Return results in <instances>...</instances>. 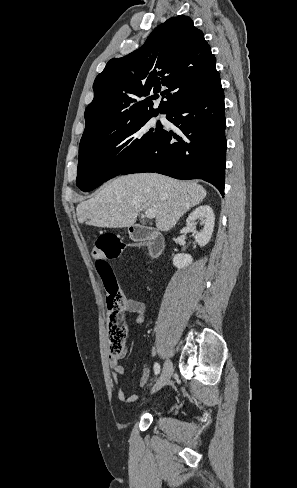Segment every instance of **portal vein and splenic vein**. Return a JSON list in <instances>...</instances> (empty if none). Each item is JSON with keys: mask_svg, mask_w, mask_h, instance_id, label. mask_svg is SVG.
<instances>
[{"mask_svg": "<svg viewBox=\"0 0 297 488\" xmlns=\"http://www.w3.org/2000/svg\"><path fill=\"white\" fill-rule=\"evenodd\" d=\"M145 216L147 218H154L156 216V210L153 209V208H150L148 210L145 211Z\"/></svg>", "mask_w": 297, "mask_h": 488, "instance_id": "18ae733b", "label": "portal vein and splenic vein"}]
</instances>
